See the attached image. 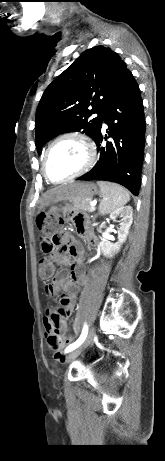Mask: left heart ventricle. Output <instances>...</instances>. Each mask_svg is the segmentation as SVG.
<instances>
[{
	"mask_svg": "<svg viewBox=\"0 0 165 461\" xmlns=\"http://www.w3.org/2000/svg\"><path fill=\"white\" fill-rule=\"evenodd\" d=\"M85 160L86 154L80 142L71 139L63 140L48 154L46 169L50 178L60 180L79 170Z\"/></svg>",
	"mask_w": 165,
	"mask_h": 461,
	"instance_id": "left-heart-ventricle-1",
	"label": "left heart ventricle"
}]
</instances>
